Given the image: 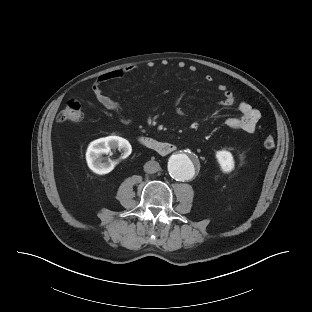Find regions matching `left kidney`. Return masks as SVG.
Masks as SVG:
<instances>
[{
  "label": "left kidney",
  "instance_id": "5707ae66",
  "mask_svg": "<svg viewBox=\"0 0 312 312\" xmlns=\"http://www.w3.org/2000/svg\"><path fill=\"white\" fill-rule=\"evenodd\" d=\"M217 161L224 173H229L234 169V159L232 154L226 150L216 152Z\"/></svg>",
  "mask_w": 312,
  "mask_h": 312
}]
</instances>
